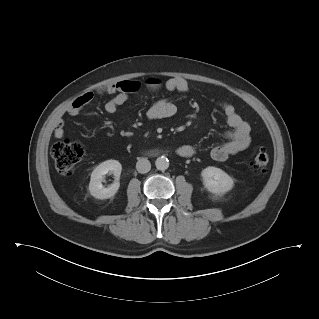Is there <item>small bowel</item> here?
Instances as JSON below:
<instances>
[{
    "mask_svg": "<svg viewBox=\"0 0 319 319\" xmlns=\"http://www.w3.org/2000/svg\"><path fill=\"white\" fill-rule=\"evenodd\" d=\"M130 81H119L109 84L101 88L98 93L112 96L104 106L107 113H115L120 106L125 104L130 96V92L126 90ZM165 89L168 91H176L179 93H188L190 85L188 81L182 77H174L165 83ZM94 98L93 92H85L74 100L66 108V113L70 116L79 115L82 110L92 102ZM221 109L230 130L226 133L227 141L211 150V157L216 161H225L230 156L247 149L251 144V127L248 122L243 120L237 113L236 109L230 103L221 104ZM177 112L176 105L168 99H159L150 105L146 111L149 120L157 121L173 117ZM53 135L55 138H63L65 129L62 123L58 124ZM177 152L180 156L191 157L195 154V149L191 145L183 144L178 147Z\"/></svg>",
    "mask_w": 319,
    "mask_h": 319,
    "instance_id": "c3829d8e",
    "label": "small bowel"
}]
</instances>
